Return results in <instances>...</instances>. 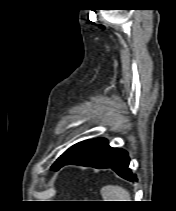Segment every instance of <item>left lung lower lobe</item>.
Masks as SVG:
<instances>
[{
	"label": "left lung lower lobe",
	"instance_id": "0a47b994",
	"mask_svg": "<svg viewBox=\"0 0 176 211\" xmlns=\"http://www.w3.org/2000/svg\"><path fill=\"white\" fill-rule=\"evenodd\" d=\"M68 164L90 166L99 169L111 168L119 176L129 181L134 180L132 172L128 168V153L125 150L110 147L108 141L102 138L90 140L81 151L64 161L56 171Z\"/></svg>",
	"mask_w": 176,
	"mask_h": 211
}]
</instances>
